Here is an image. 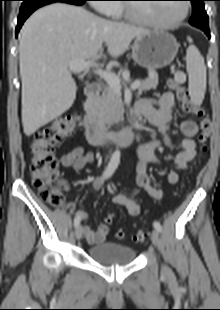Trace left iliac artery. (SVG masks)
Wrapping results in <instances>:
<instances>
[{
	"label": "left iliac artery",
	"instance_id": "obj_1",
	"mask_svg": "<svg viewBox=\"0 0 220 310\" xmlns=\"http://www.w3.org/2000/svg\"><path fill=\"white\" fill-rule=\"evenodd\" d=\"M153 226H154V228H155L158 232H161V231H162L161 224H160L158 221H154V222H153Z\"/></svg>",
	"mask_w": 220,
	"mask_h": 310
}]
</instances>
